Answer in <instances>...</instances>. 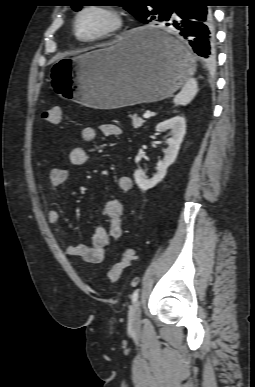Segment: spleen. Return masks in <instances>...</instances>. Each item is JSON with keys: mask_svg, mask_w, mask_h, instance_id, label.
Here are the masks:
<instances>
[{"mask_svg": "<svg viewBox=\"0 0 255 387\" xmlns=\"http://www.w3.org/2000/svg\"><path fill=\"white\" fill-rule=\"evenodd\" d=\"M198 92L197 81L194 78H189L181 91L174 97L175 105H187L189 104Z\"/></svg>", "mask_w": 255, "mask_h": 387, "instance_id": "3e777b00", "label": "spleen"}]
</instances>
